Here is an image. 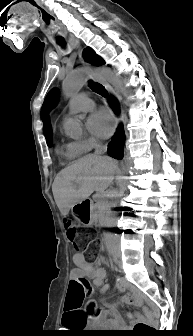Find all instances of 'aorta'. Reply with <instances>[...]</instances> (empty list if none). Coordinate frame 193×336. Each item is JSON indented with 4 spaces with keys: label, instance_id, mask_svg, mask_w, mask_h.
Here are the masks:
<instances>
[{
    "label": "aorta",
    "instance_id": "aorta-1",
    "mask_svg": "<svg viewBox=\"0 0 193 336\" xmlns=\"http://www.w3.org/2000/svg\"><path fill=\"white\" fill-rule=\"evenodd\" d=\"M90 70L85 68L75 69L69 74L63 82L62 90L66 97H73L86 83L87 76ZM96 73L107 81H109L114 87L118 89L124 96H129L130 91L125 86V82L114 71L108 68H102L96 71ZM64 132L72 139H79L83 134V128L80 121L74 118H66L64 121Z\"/></svg>",
    "mask_w": 193,
    "mask_h": 336
}]
</instances>
